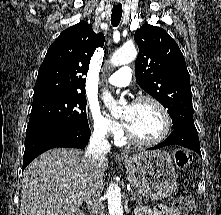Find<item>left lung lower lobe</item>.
<instances>
[{
  "label": "left lung lower lobe",
  "instance_id": "obj_1",
  "mask_svg": "<svg viewBox=\"0 0 221 215\" xmlns=\"http://www.w3.org/2000/svg\"><path fill=\"white\" fill-rule=\"evenodd\" d=\"M181 145L191 149L201 155L198 132L196 128H176L160 144L150 148L151 150L159 149L168 145Z\"/></svg>",
  "mask_w": 221,
  "mask_h": 215
}]
</instances>
